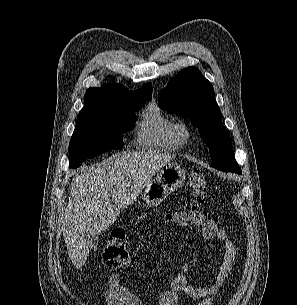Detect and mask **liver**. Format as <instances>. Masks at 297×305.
Listing matches in <instances>:
<instances>
[{"mask_svg": "<svg viewBox=\"0 0 297 305\" xmlns=\"http://www.w3.org/2000/svg\"><path fill=\"white\" fill-rule=\"evenodd\" d=\"M173 157L151 150L119 154L73 178L62 231L77 269L85 264L89 254L84 234L100 235L106 231L120 210L133 203L152 176Z\"/></svg>", "mask_w": 297, "mask_h": 305, "instance_id": "6515ba94", "label": "liver"}]
</instances>
